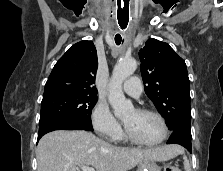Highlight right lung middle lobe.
<instances>
[{"label":"right lung middle lobe","instance_id":"dd1d6c3e","mask_svg":"<svg viewBox=\"0 0 223 171\" xmlns=\"http://www.w3.org/2000/svg\"><path fill=\"white\" fill-rule=\"evenodd\" d=\"M97 102L95 94L63 93L43 98L39 125L57 118H75L92 124L91 111Z\"/></svg>","mask_w":223,"mask_h":171}]
</instances>
